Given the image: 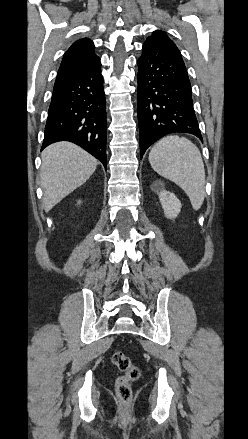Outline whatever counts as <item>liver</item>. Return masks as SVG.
<instances>
[{"mask_svg": "<svg viewBox=\"0 0 248 439\" xmlns=\"http://www.w3.org/2000/svg\"><path fill=\"white\" fill-rule=\"evenodd\" d=\"M41 158L40 177L46 212L84 184L98 165L97 159L70 142H58L48 146L42 152Z\"/></svg>", "mask_w": 248, "mask_h": 439, "instance_id": "liver-1", "label": "liver"}]
</instances>
